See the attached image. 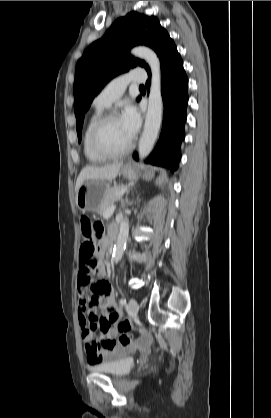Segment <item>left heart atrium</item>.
Wrapping results in <instances>:
<instances>
[{
	"label": "left heart atrium",
	"instance_id": "left-heart-atrium-1",
	"mask_svg": "<svg viewBox=\"0 0 271 418\" xmlns=\"http://www.w3.org/2000/svg\"><path fill=\"white\" fill-rule=\"evenodd\" d=\"M120 121L128 137L132 139L136 135L141 124L140 115L137 109L131 105L127 106L120 117Z\"/></svg>",
	"mask_w": 271,
	"mask_h": 418
}]
</instances>
